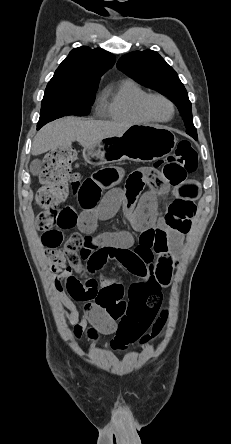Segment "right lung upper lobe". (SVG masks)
I'll list each match as a JSON object with an SVG mask.
<instances>
[{
  "label": "right lung upper lobe",
  "instance_id": "right-lung-upper-lobe-1",
  "mask_svg": "<svg viewBox=\"0 0 231 444\" xmlns=\"http://www.w3.org/2000/svg\"><path fill=\"white\" fill-rule=\"evenodd\" d=\"M115 57L101 49H73L59 65L46 89L90 90L98 88L100 77L114 65Z\"/></svg>",
  "mask_w": 231,
  "mask_h": 444
}]
</instances>
